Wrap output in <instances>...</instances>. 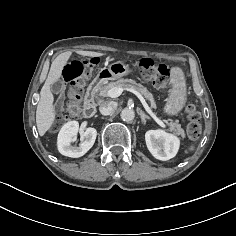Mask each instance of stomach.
Returning a JSON list of instances; mask_svg holds the SVG:
<instances>
[{
  "label": "stomach",
  "mask_w": 236,
  "mask_h": 236,
  "mask_svg": "<svg viewBox=\"0 0 236 236\" xmlns=\"http://www.w3.org/2000/svg\"><path fill=\"white\" fill-rule=\"evenodd\" d=\"M130 72L131 70L128 65L124 62L117 61L108 67L100 69L97 77L101 81L117 80L128 75ZM171 82L173 88L163 108V113L169 116L177 115L186 103L184 78L180 69L173 68Z\"/></svg>",
  "instance_id": "0dacf381"
}]
</instances>
